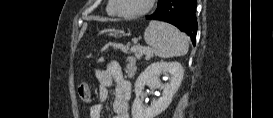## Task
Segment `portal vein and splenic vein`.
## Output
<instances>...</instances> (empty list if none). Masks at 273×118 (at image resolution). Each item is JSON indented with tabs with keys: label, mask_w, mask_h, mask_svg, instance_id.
<instances>
[{
	"label": "portal vein and splenic vein",
	"mask_w": 273,
	"mask_h": 118,
	"mask_svg": "<svg viewBox=\"0 0 273 118\" xmlns=\"http://www.w3.org/2000/svg\"><path fill=\"white\" fill-rule=\"evenodd\" d=\"M141 50L143 51L144 54H148L151 52V49H149V48H143Z\"/></svg>",
	"instance_id": "obj_1"
}]
</instances>
